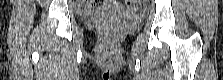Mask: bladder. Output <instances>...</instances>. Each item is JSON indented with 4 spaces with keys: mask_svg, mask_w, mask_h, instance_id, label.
Masks as SVG:
<instances>
[{
    "mask_svg": "<svg viewBox=\"0 0 223 80\" xmlns=\"http://www.w3.org/2000/svg\"><path fill=\"white\" fill-rule=\"evenodd\" d=\"M106 10H107V11H106L107 14H119V13L116 11L117 9H114V8H111V7H107Z\"/></svg>",
    "mask_w": 223,
    "mask_h": 80,
    "instance_id": "bladder-1",
    "label": "bladder"
}]
</instances>
